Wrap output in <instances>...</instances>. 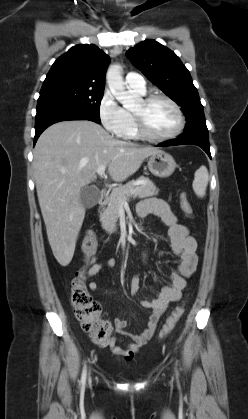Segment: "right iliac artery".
Instances as JSON below:
<instances>
[{
  "mask_svg": "<svg viewBox=\"0 0 248 419\" xmlns=\"http://www.w3.org/2000/svg\"><path fill=\"white\" fill-rule=\"evenodd\" d=\"M86 365L84 366V368H83V371H82V376H81V381H80V383H81V385L82 386H84L85 385V382H86Z\"/></svg>",
  "mask_w": 248,
  "mask_h": 419,
  "instance_id": "1",
  "label": "right iliac artery"
}]
</instances>
